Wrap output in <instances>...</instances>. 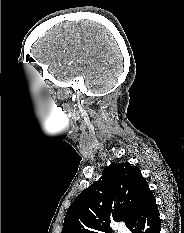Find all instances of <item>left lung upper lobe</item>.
Listing matches in <instances>:
<instances>
[{"mask_svg": "<svg viewBox=\"0 0 184 233\" xmlns=\"http://www.w3.org/2000/svg\"><path fill=\"white\" fill-rule=\"evenodd\" d=\"M149 191L139 168L113 162L72 202L61 233H112L110 223L124 221L127 225Z\"/></svg>", "mask_w": 184, "mask_h": 233, "instance_id": "left-lung-upper-lobe-1", "label": "left lung upper lobe"}]
</instances>
